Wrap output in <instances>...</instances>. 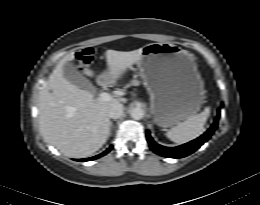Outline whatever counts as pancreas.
Wrapping results in <instances>:
<instances>
[{"label": "pancreas", "mask_w": 260, "mask_h": 205, "mask_svg": "<svg viewBox=\"0 0 260 205\" xmlns=\"http://www.w3.org/2000/svg\"><path fill=\"white\" fill-rule=\"evenodd\" d=\"M130 85H138V82L136 80H133V81H131Z\"/></svg>", "instance_id": "cf45deb5"}]
</instances>
